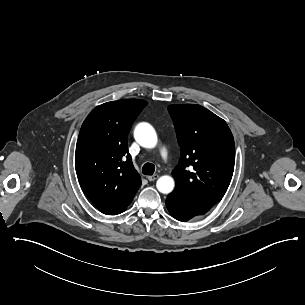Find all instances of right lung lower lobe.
I'll list each match as a JSON object with an SVG mask.
<instances>
[{"label":"right lung lower lobe","instance_id":"obj_1","mask_svg":"<svg viewBox=\"0 0 305 305\" xmlns=\"http://www.w3.org/2000/svg\"><path fill=\"white\" fill-rule=\"evenodd\" d=\"M124 210H125V209H124ZM124 210H123V211H124ZM123 211H121V212H119V213H122ZM119 213H117V214H119Z\"/></svg>","mask_w":305,"mask_h":305}]
</instances>
